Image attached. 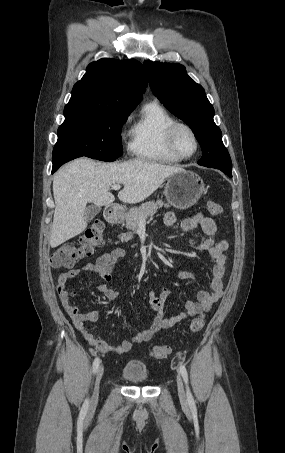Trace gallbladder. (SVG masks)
Listing matches in <instances>:
<instances>
[{"mask_svg":"<svg viewBox=\"0 0 285 453\" xmlns=\"http://www.w3.org/2000/svg\"><path fill=\"white\" fill-rule=\"evenodd\" d=\"M101 208L96 205H90L85 210V219L87 221L92 220L98 213H100Z\"/></svg>","mask_w":285,"mask_h":453,"instance_id":"gallbladder-1","label":"gallbladder"}]
</instances>
